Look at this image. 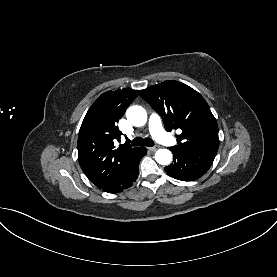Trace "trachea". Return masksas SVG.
<instances>
[{
    "instance_id": "obj_1",
    "label": "trachea",
    "mask_w": 277,
    "mask_h": 277,
    "mask_svg": "<svg viewBox=\"0 0 277 277\" xmlns=\"http://www.w3.org/2000/svg\"><path fill=\"white\" fill-rule=\"evenodd\" d=\"M131 145L132 146H148V147H151V146H154V142L152 139L150 138H140V137H136L135 139L132 140L131 142Z\"/></svg>"
}]
</instances>
